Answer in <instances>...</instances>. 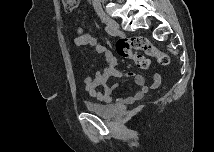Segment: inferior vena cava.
Masks as SVG:
<instances>
[{"mask_svg": "<svg viewBox=\"0 0 215 152\" xmlns=\"http://www.w3.org/2000/svg\"><path fill=\"white\" fill-rule=\"evenodd\" d=\"M95 2L99 3V2H100V0H95Z\"/></svg>", "mask_w": 215, "mask_h": 152, "instance_id": "602c4592", "label": "inferior vena cava"}]
</instances>
